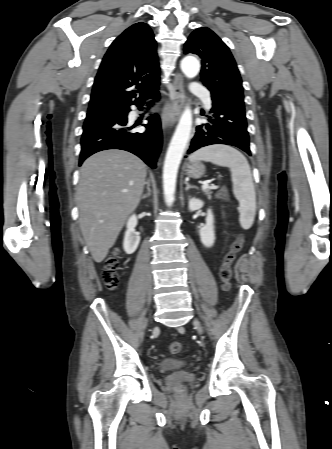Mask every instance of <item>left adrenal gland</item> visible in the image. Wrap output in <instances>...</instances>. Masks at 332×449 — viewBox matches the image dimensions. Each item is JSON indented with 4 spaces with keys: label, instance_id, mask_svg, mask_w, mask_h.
Returning a JSON list of instances; mask_svg holds the SVG:
<instances>
[{
    "label": "left adrenal gland",
    "instance_id": "left-adrenal-gland-1",
    "mask_svg": "<svg viewBox=\"0 0 332 449\" xmlns=\"http://www.w3.org/2000/svg\"><path fill=\"white\" fill-rule=\"evenodd\" d=\"M185 185H186V188H185L186 191H188L190 188H196L195 186L190 185L187 181H185Z\"/></svg>",
    "mask_w": 332,
    "mask_h": 449
}]
</instances>
